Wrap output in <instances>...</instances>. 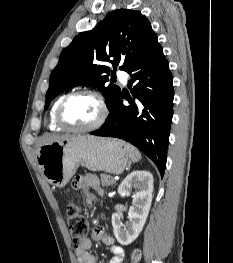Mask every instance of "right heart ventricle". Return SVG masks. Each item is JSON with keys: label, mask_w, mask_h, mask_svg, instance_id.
Segmentation results:
<instances>
[{"label": "right heart ventricle", "mask_w": 233, "mask_h": 263, "mask_svg": "<svg viewBox=\"0 0 233 263\" xmlns=\"http://www.w3.org/2000/svg\"><path fill=\"white\" fill-rule=\"evenodd\" d=\"M64 96L65 95H61L60 97H58L52 104L51 109L49 111V128L52 131H62L63 130V128L56 121V111H57V107L60 101L63 99Z\"/></svg>", "instance_id": "right-heart-ventricle-1"}]
</instances>
